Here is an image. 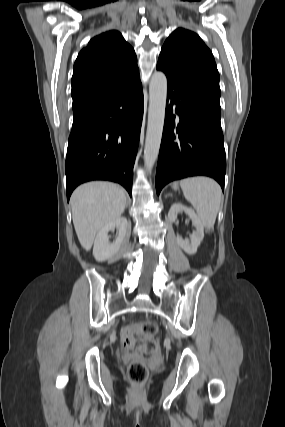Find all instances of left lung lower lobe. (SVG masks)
Listing matches in <instances>:
<instances>
[{
	"instance_id": "1",
	"label": "left lung lower lobe",
	"mask_w": 285,
	"mask_h": 427,
	"mask_svg": "<svg viewBox=\"0 0 285 427\" xmlns=\"http://www.w3.org/2000/svg\"><path fill=\"white\" fill-rule=\"evenodd\" d=\"M167 82L165 123L156 171L157 194L173 180L196 175L213 177L224 191L226 159L220 102L168 76ZM173 111L179 115V122Z\"/></svg>"
}]
</instances>
